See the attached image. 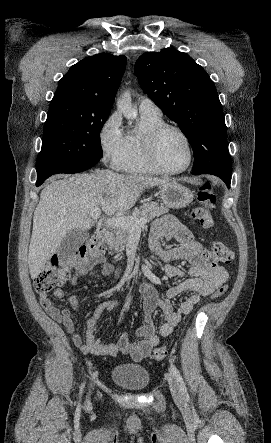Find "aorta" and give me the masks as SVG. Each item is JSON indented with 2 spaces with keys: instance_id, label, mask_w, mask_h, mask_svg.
I'll return each mask as SVG.
<instances>
[{
  "instance_id": "obj_1",
  "label": "aorta",
  "mask_w": 271,
  "mask_h": 443,
  "mask_svg": "<svg viewBox=\"0 0 271 443\" xmlns=\"http://www.w3.org/2000/svg\"><path fill=\"white\" fill-rule=\"evenodd\" d=\"M117 110L122 112L126 120H136L138 114L136 108H132V98L129 90H126L121 98H119L117 102Z\"/></svg>"
}]
</instances>
